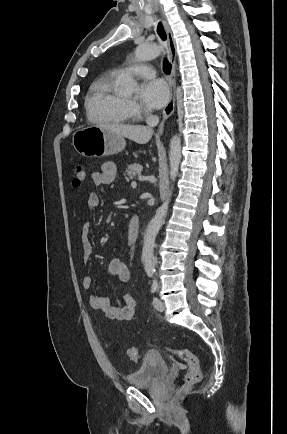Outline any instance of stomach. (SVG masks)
Wrapping results in <instances>:
<instances>
[{"label":"stomach","mask_w":287,"mask_h":434,"mask_svg":"<svg viewBox=\"0 0 287 434\" xmlns=\"http://www.w3.org/2000/svg\"><path fill=\"white\" fill-rule=\"evenodd\" d=\"M74 149L85 157H103L114 155L126 146L123 136L99 126H86L74 132Z\"/></svg>","instance_id":"1"}]
</instances>
